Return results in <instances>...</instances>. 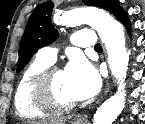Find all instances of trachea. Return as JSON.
<instances>
[{"label":"trachea","mask_w":145,"mask_h":124,"mask_svg":"<svg viewBox=\"0 0 145 124\" xmlns=\"http://www.w3.org/2000/svg\"><path fill=\"white\" fill-rule=\"evenodd\" d=\"M94 49H95V50H100V49H102L101 44H100V43H97V44L95 45Z\"/></svg>","instance_id":"3493384b"}]
</instances>
